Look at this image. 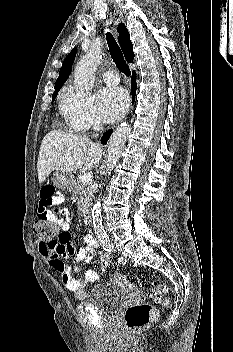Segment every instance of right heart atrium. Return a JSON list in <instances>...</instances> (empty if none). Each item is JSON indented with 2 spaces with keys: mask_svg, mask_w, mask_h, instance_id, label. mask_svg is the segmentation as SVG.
<instances>
[{
  "mask_svg": "<svg viewBox=\"0 0 233 352\" xmlns=\"http://www.w3.org/2000/svg\"><path fill=\"white\" fill-rule=\"evenodd\" d=\"M60 108L72 131L85 132L101 123L92 99L76 93L72 88L63 92Z\"/></svg>",
  "mask_w": 233,
  "mask_h": 352,
  "instance_id": "obj_1",
  "label": "right heart atrium"
}]
</instances>
